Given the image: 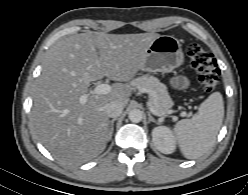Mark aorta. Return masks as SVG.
I'll list each match as a JSON object with an SVG mask.
<instances>
[{
    "label": "aorta",
    "mask_w": 248,
    "mask_h": 195,
    "mask_svg": "<svg viewBox=\"0 0 248 195\" xmlns=\"http://www.w3.org/2000/svg\"><path fill=\"white\" fill-rule=\"evenodd\" d=\"M143 113L139 109H132L128 113V118L133 123H139L142 120Z\"/></svg>",
    "instance_id": "obj_1"
}]
</instances>
